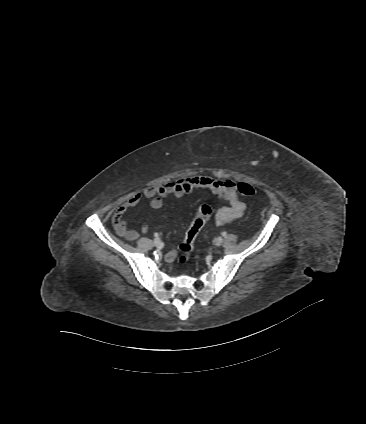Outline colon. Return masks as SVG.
Listing matches in <instances>:
<instances>
[{"instance_id": "colon-1", "label": "colon", "mask_w": 366, "mask_h": 424, "mask_svg": "<svg viewBox=\"0 0 366 424\" xmlns=\"http://www.w3.org/2000/svg\"><path fill=\"white\" fill-rule=\"evenodd\" d=\"M237 189L238 192L245 197H250L255 194L253 186L246 182L239 183L237 185ZM212 212L213 207L209 203L202 204L198 207L196 215L188 227L182 243L180 244L181 254L178 258L180 265H185L189 261L190 255L195 248L196 239Z\"/></svg>"}]
</instances>
